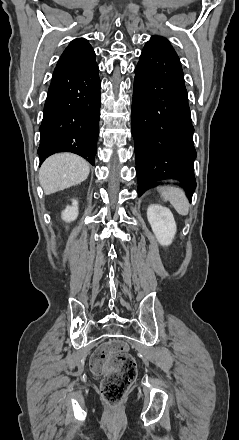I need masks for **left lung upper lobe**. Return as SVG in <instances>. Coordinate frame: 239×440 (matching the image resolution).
Listing matches in <instances>:
<instances>
[{
  "label": "left lung upper lobe",
  "mask_w": 239,
  "mask_h": 440,
  "mask_svg": "<svg viewBox=\"0 0 239 440\" xmlns=\"http://www.w3.org/2000/svg\"><path fill=\"white\" fill-rule=\"evenodd\" d=\"M154 45L158 47H163L168 50L174 51L169 41L163 37L152 36L150 42H147L145 46Z\"/></svg>",
  "instance_id": "left-lung-upper-lobe-1"
}]
</instances>
